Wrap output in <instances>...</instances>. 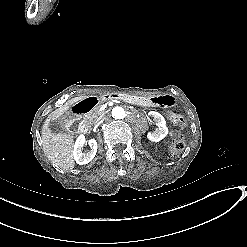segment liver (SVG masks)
Segmentation results:
<instances>
[{"mask_svg":"<svg viewBox=\"0 0 247 247\" xmlns=\"http://www.w3.org/2000/svg\"><path fill=\"white\" fill-rule=\"evenodd\" d=\"M88 96L71 98L64 105L51 112L41 130V141L45 156L51 161L53 167L59 172L70 171L75 167L73 158L74 135L67 133H53L49 127L51 121L61 118L75 103Z\"/></svg>","mask_w":247,"mask_h":247,"instance_id":"6515ba94","label":"liver"}]
</instances>
